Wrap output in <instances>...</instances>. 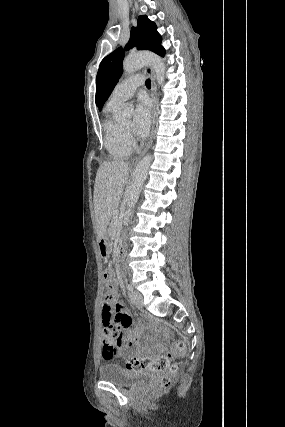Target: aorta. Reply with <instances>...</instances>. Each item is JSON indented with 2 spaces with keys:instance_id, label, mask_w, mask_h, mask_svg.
<instances>
[{
  "instance_id": "aorta-1",
  "label": "aorta",
  "mask_w": 285,
  "mask_h": 427,
  "mask_svg": "<svg viewBox=\"0 0 285 427\" xmlns=\"http://www.w3.org/2000/svg\"><path fill=\"white\" fill-rule=\"evenodd\" d=\"M149 65L155 72L156 79L159 85H163L165 81V64L163 60L156 54L151 52H137L129 54L123 62V70L127 75L133 74L142 67ZM133 112V107L130 104H125L121 111V116L124 118L130 117ZM152 162V156L147 154L136 166L131 183L128 187L127 207L131 211L138 201L144 181L147 177L149 167Z\"/></svg>"
}]
</instances>
